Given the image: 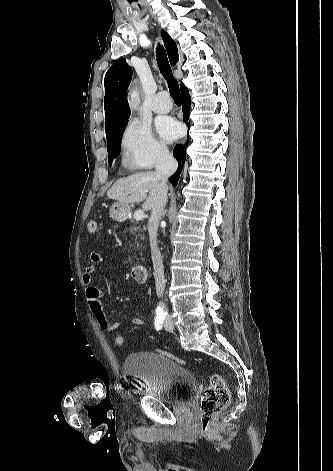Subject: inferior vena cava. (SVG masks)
<instances>
[{
    "mask_svg": "<svg viewBox=\"0 0 333 471\" xmlns=\"http://www.w3.org/2000/svg\"><path fill=\"white\" fill-rule=\"evenodd\" d=\"M178 167L177 161L166 150L159 153L156 165V176L160 180V194L151 210V217L148 223L149 240L151 247V258L154 268L155 288L158 297L163 296L165 289L164 266L162 256L157 245V231L159 222L167 202L168 178L176 171Z\"/></svg>",
    "mask_w": 333,
    "mask_h": 471,
    "instance_id": "obj_1",
    "label": "inferior vena cava"
}]
</instances>
